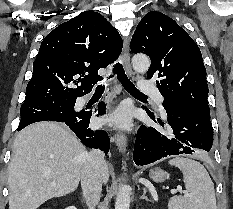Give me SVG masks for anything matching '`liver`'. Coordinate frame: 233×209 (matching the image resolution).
I'll return each mask as SVG.
<instances>
[{"label":"liver","instance_id":"obj_1","mask_svg":"<svg viewBox=\"0 0 233 209\" xmlns=\"http://www.w3.org/2000/svg\"><path fill=\"white\" fill-rule=\"evenodd\" d=\"M87 155L83 144L60 124L39 122L23 129L14 140L8 166L9 209H37L74 192ZM108 179L105 164L103 182Z\"/></svg>","mask_w":233,"mask_h":209}]
</instances>
